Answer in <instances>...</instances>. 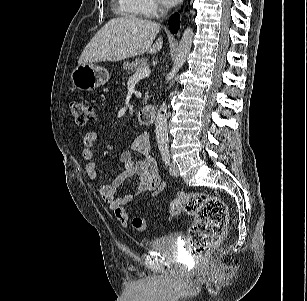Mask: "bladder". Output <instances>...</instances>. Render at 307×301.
Listing matches in <instances>:
<instances>
[{
  "label": "bladder",
  "instance_id": "1",
  "mask_svg": "<svg viewBox=\"0 0 307 301\" xmlns=\"http://www.w3.org/2000/svg\"><path fill=\"white\" fill-rule=\"evenodd\" d=\"M180 237L177 232L156 237L151 243L150 250L176 260L178 258V241Z\"/></svg>",
  "mask_w": 307,
  "mask_h": 301
}]
</instances>
